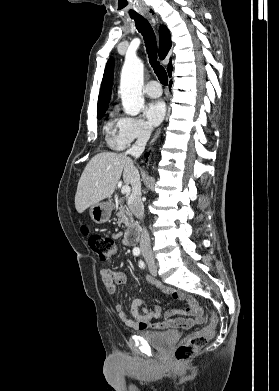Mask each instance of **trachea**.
<instances>
[{
    "label": "trachea",
    "mask_w": 279,
    "mask_h": 391,
    "mask_svg": "<svg viewBox=\"0 0 279 391\" xmlns=\"http://www.w3.org/2000/svg\"><path fill=\"white\" fill-rule=\"evenodd\" d=\"M137 30L143 35L149 62L163 85L168 84V76L164 67L157 60V42L152 26L143 17L133 18Z\"/></svg>",
    "instance_id": "trachea-1"
}]
</instances>
